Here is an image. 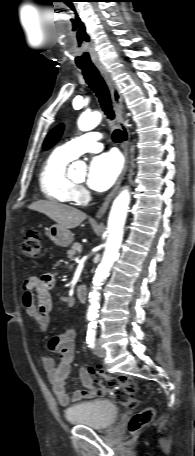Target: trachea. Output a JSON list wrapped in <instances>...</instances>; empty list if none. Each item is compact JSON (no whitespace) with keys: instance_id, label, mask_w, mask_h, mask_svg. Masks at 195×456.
I'll return each mask as SVG.
<instances>
[{"instance_id":"obj_1","label":"trachea","mask_w":195,"mask_h":456,"mask_svg":"<svg viewBox=\"0 0 195 456\" xmlns=\"http://www.w3.org/2000/svg\"><path fill=\"white\" fill-rule=\"evenodd\" d=\"M82 70L87 84L96 93L101 107L109 119H114V111L110 101V95L105 81L101 77L98 69L95 66L79 67ZM114 142L119 143L123 139V133L120 129H115L112 134Z\"/></svg>"}]
</instances>
